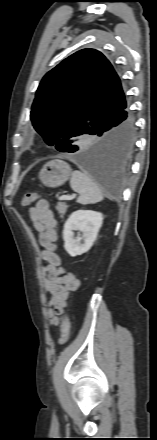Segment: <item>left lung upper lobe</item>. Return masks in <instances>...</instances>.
Instances as JSON below:
<instances>
[{"label":"left lung upper lobe","instance_id":"1","mask_svg":"<svg viewBox=\"0 0 157 440\" xmlns=\"http://www.w3.org/2000/svg\"><path fill=\"white\" fill-rule=\"evenodd\" d=\"M126 102L120 79L95 49L80 50L42 79L30 118L45 142L58 151L93 135L106 117Z\"/></svg>","mask_w":157,"mask_h":440}]
</instances>
